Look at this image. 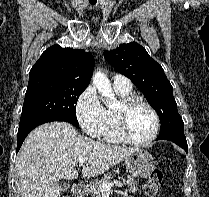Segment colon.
I'll return each instance as SVG.
<instances>
[{
    "mask_svg": "<svg viewBox=\"0 0 209 197\" xmlns=\"http://www.w3.org/2000/svg\"><path fill=\"white\" fill-rule=\"evenodd\" d=\"M163 179H164V175L162 171L154 170L144 185L145 194L148 197H154L161 188Z\"/></svg>",
    "mask_w": 209,
    "mask_h": 197,
    "instance_id": "colon-1",
    "label": "colon"
}]
</instances>
